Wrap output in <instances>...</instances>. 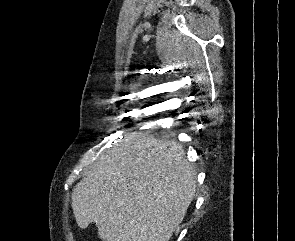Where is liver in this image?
Returning <instances> with one entry per match:
<instances>
[{"label":"liver","mask_w":295,"mask_h":241,"mask_svg":"<svg viewBox=\"0 0 295 241\" xmlns=\"http://www.w3.org/2000/svg\"><path fill=\"white\" fill-rule=\"evenodd\" d=\"M196 175L177 142L125 134L74 187L76 222L95 223L103 241H169L194 198Z\"/></svg>","instance_id":"1"}]
</instances>
